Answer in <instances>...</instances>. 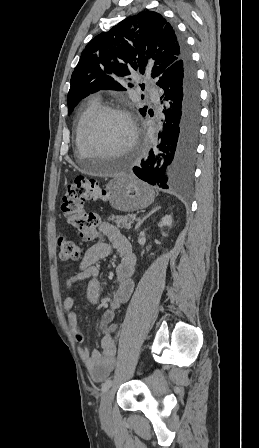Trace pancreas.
I'll return each instance as SVG.
<instances>
[{
    "mask_svg": "<svg viewBox=\"0 0 259 448\" xmlns=\"http://www.w3.org/2000/svg\"><path fill=\"white\" fill-rule=\"evenodd\" d=\"M135 216L133 214H128V216H110L109 220L112 222H116L117 228H126V230H130L132 228L131 224H133V220Z\"/></svg>",
    "mask_w": 259,
    "mask_h": 448,
    "instance_id": "1",
    "label": "pancreas"
}]
</instances>
